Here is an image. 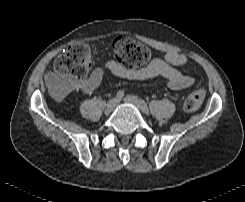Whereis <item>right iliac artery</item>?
Returning <instances> with one entry per match:
<instances>
[{"mask_svg": "<svg viewBox=\"0 0 245 202\" xmlns=\"http://www.w3.org/2000/svg\"><path fill=\"white\" fill-rule=\"evenodd\" d=\"M124 97V90H119L117 92L116 98L120 101Z\"/></svg>", "mask_w": 245, "mask_h": 202, "instance_id": "right-iliac-artery-1", "label": "right iliac artery"}]
</instances>
